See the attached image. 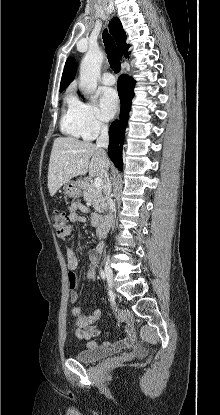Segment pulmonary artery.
<instances>
[{
    "mask_svg": "<svg viewBox=\"0 0 220 415\" xmlns=\"http://www.w3.org/2000/svg\"><path fill=\"white\" fill-rule=\"evenodd\" d=\"M101 81L104 85L110 86L116 83V78L111 72H105L101 77Z\"/></svg>",
    "mask_w": 220,
    "mask_h": 415,
    "instance_id": "e3ab8cb5",
    "label": "pulmonary artery"
}]
</instances>
